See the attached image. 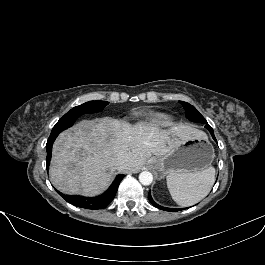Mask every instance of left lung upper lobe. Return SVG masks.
<instances>
[{
  "instance_id": "1",
  "label": "left lung upper lobe",
  "mask_w": 265,
  "mask_h": 265,
  "mask_svg": "<svg viewBox=\"0 0 265 265\" xmlns=\"http://www.w3.org/2000/svg\"><path fill=\"white\" fill-rule=\"evenodd\" d=\"M183 105V108L186 111V118H188L190 121L192 122H196V123H205L206 120L205 118L197 111V109L186 103V102H181Z\"/></svg>"
}]
</instances>
